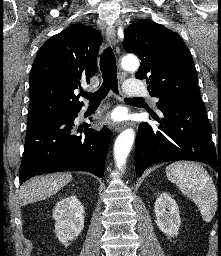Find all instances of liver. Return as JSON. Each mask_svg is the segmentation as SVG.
I'll use <instances>...</instances> for the list:
<instances>
[{"label":"liver","instance_id":"1","mask_svg":"<svg viewBox=\"0 0 221 256\" xmlns=\"http://www.w3.org/2000/svg\"><path fill=\"white\" fill-rule=\"evenodd\" d=\"M71 180L70 173H52L35 177L20 187V202L24 205L46 199L60 191Z\"/></svg>","mask_w":221,"mask_h":256}]
</instances>
